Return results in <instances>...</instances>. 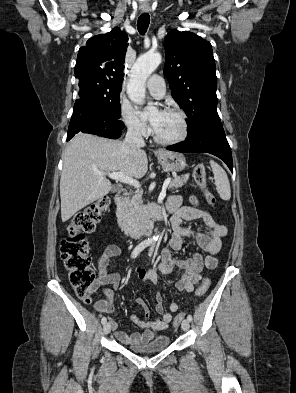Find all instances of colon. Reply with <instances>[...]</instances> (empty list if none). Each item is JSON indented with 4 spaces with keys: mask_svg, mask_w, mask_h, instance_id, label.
Masks as SVG:
<instances>
[{
    "mask_svg": "<svg viewBox=\"0 0 296 393\" xmlns=\"http://www.w3.org/2000/svg\"><path fill=\"white\" fill-rule=\"evenodd\" d=\"M196 184L204 191L208 204H215V197L206 188V168L198 164L193 171ZM109 199L101 197L87 207L81 209L72 217L68 225V236L60 245L61 258L68 271V280L79 297L88 296L97 286V276L92 266L90 247L84 233L92 232L101 215L107 210ZM210 286V280L204 279L196 291V297H202ZM185 312L179 313L174 321L178 326L185 317Z\"/></svg>",
    "mask_w": 296,
    "mask_h": 393,
    "instance_id": "obj_1",
    "label": "colon"
}]
</instances>
